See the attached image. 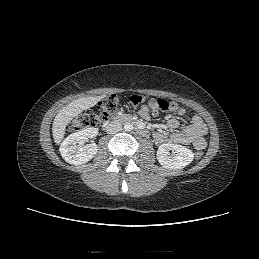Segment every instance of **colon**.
<instances>
[{"mask_svg":"<svg viewBox=\"0 0 259 259\" xmlns=\"http://www.w3.org/2000/svg\"><path fill=\"white\" fill-rule=\"evenodd\" d=\"M146 102V97L140 94H134L129 97V103L133 106L143 105L153 111H177L180 105L174 101L166 99H150ZM119 99L116 95H111L101 101L96 111H86L74 119L68 126V130H80L88 127H95L110 119L118 110ZM196 159L203 157L202 151L195 153Z\"/></svg>","mask_w":259,"mask_h":259,"instance_id":"obj_1","label":"colon"}]
</instances>
